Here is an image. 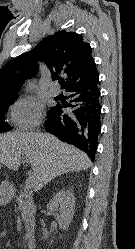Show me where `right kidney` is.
<instances>
[{
	"mask_svg": "<svg viewBox=\"0 0 135 249\" xmlns=\"http://www.w3.org/2000/svg\"><path fill=\"white\" fill-rule=\"evenodd\" d=\"M47 209L56 217L60 229L67 230L75 209V198L71 191L57 193L48 203ZM47 236V232L43 233Z\"/></svg>",
	"mask_w": 135,
	"mask_h": 249,
	"instance_id": "1",
	"label": "right kidney"
}]
</instances>
